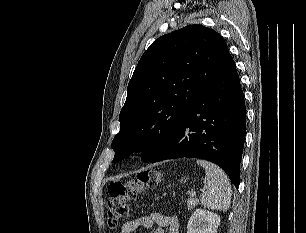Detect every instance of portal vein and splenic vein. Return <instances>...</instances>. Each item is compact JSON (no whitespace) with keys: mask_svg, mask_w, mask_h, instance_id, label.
Segmentation results:
<instances>
[{"mask_svg":"<svg viewBox=\"0 0 306 233\" xmlns=\"http://www.w3.org/2000/svg\"><path fill=\"white\" fill-rule=\"evenodd\" d=\"M190 195H191L192 197H194V196L196 195V192H195V191H191V192H190Z\"/></svg>","mask_w":306,"mask_h":233,"instance_id":"portal-vein-and-splenic-vein-1","label":"portal vein and splenic vein"}]
</instances>
